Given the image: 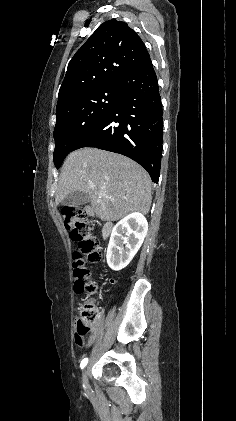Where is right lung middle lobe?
<instances>
[{
  "label": "right lung middle lobe",
  "mask_w": 236,
  "mask_h": 421,
  "mask_svg": "<svg viewBox=\"0 0 236 421\" xmlns=\"http://www.w3.org/2000/svg\"><path fill=\"white\" fill-rule=\"evenodd\" d=\"M118 87L81 94L56 108L54 164L60 168L77 142L110 113L119 100Z\"/></svg>",
  "instance_id": "1"
}]
</instances>
